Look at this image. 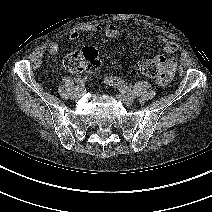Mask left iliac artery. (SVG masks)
Masks as SVG:
<instances>
[{"instance_id": "obj_1", "label": "left iliac artery", "mask_w": 212, "mask_h": 212, "mask_svg": "<svg viewBox=\"0 0 212 212\" xmlns=\"http://www.w3.org/2000/svg\"><path fill=\"white\" fill-rule=\"evenodd\" d=\"M104 82L109 84V85L116 86L124 94L132 96V97L135 98V93L124 83L123 80H121L117 77H107V78H105Z\"/></svg>"}]
</instances>
